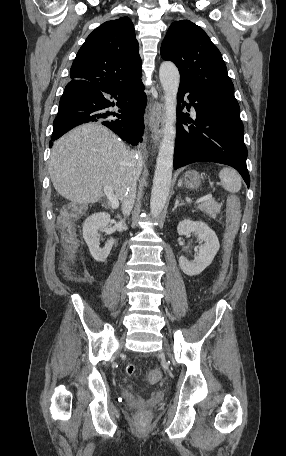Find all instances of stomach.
<instances>
[{"mask_svg":"<svg viewBox=\"0 0 286 456\" xmlns=\"http://www.w3.org/2000/svg\"><path fill=\"white\" fill-rule=\"evenodd\" d=\"M184 183L188 188L197 189L201 184V176L197 171L189 170L185 173Z\"/></svg>","mask_w":286,"mask_h":456,"instance_id":"stomach-1","label":"stomach"}]
</instances>
